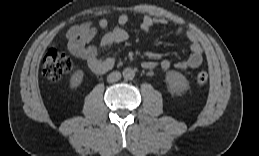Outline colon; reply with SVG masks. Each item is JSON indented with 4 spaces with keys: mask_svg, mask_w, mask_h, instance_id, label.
<instances>
[{
    "mask_svg": "<svg viewBox=\"0 0 259 156\" xmlns=\"http://www.w3.org/2000/svg\"><path fill=\"white\" fill-rule=\"evenodd\" d=\"M72 68V62L69 56L56 49L55 47L48 48L42 59V70L45 78L50 82H56L66 75ZM208 73L200 71L196 75V83L204 85L208 80Z\"/></svg>",
    "mask_w": 259,
    "mask_h": 156,
    "instance_id": "obj_1",
    "label": "colon"
}]
</instances>
